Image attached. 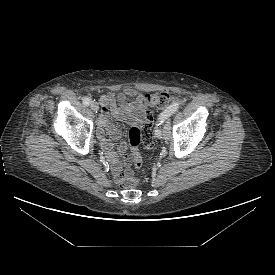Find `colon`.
<instances>
[{
    "label": "colon",
    "mask_w": 275,
    "mask_h": 275,
    "mask_svg": "<svg viewBox=\"0 0 275 275\" xmlns=\"http://www.w3.org/2000/svg\"><path fill=\"white\" fill-rule=\"evenodd\" d=\"M172 101V96L165 91L155 92L146 96V102L155 108H165ZM129 143L131 147V156L134 160L135 166L141 168L143 166L139 147L142 144L144 149L153 148V134L151 130V116L147 114V123L143 128L134 126L128 132ZM138 179L132 176L125 178L120 185L123 188H132L136 186Z\"/></svg>",
    "instance_id": "obj_1"
}]
</instances>
